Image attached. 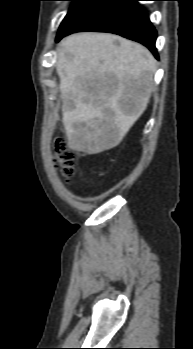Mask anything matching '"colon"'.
I'll return each mask as SVG.
<instances>
[{
    "label": "colon",
    "instance_id": "obj_1",
    "mask_svg": "<svg viewBox=\"0 0 193 349\" xmlns=\"http://www.w3.org/2000/svg\"><path fill=\"white\" fill-rule=\"evenodd\" d=\"M54 159L61 174L68 182L75 173V156L63 139L54 142Z\"/></svg>",
    "mask_w": 193,
    "mask_h": 349
}]
</instances>
